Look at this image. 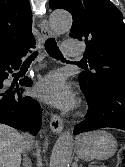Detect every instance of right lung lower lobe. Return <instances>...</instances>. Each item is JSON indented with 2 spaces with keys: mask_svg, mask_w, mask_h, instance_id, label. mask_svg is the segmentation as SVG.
<instances>
[{
  "mask_svg": "<svg viewBox=\"0 0 125 167\" xmlns=\"http://www.w3.org/2000/svg\"><path fill=\"white\" fill-rule=\"evenodd\" d=\"M34 47V46H33ZM14 53L5 60L0 61V123L9 125L22 131H30L36 135L41 127V109L39 103L24 96L21 86H30L32 81L25 77L20 80V85L7 89L3 82L8 78L11 69H18L21 58L26 55Z\"/></svg>",
  "mask_w": 125,
  "mask_h": 167,
  "instance_id": "right-lung-lower-lobe-1",
  "label": "right lung lower lobe"
}]
</instances>
